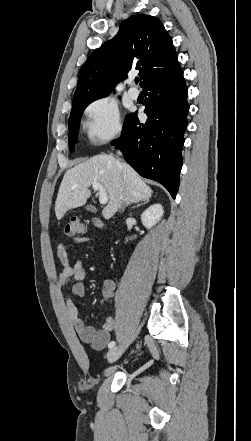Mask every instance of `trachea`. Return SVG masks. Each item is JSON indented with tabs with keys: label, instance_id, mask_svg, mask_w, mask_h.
I'll use <instances>...</instances> for the list:
<instances>
[{
	"label": "trachea",
	"instance_id": "3493384b",
	"mask_svg": "<svg viewBox=\"0 0 251 441\" xmlns=\"http://www.w3.org/2000/svg\"><path fill=\"white\" fill-rule=\"evenodd\" d=\"M135 82L138 83L139 82V78H135Z\"/></svg>",
	"mask_w": 251,
	"mask_h": 441
}]
</instances>
